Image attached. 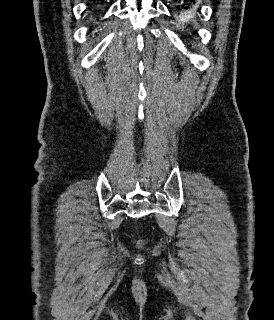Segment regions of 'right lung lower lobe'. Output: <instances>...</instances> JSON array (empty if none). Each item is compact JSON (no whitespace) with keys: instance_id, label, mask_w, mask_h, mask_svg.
I'll list each match as a JSON object with an SVG mask.
<instances>
[{"instance_id":"98d812e1","label":"right lung lower lobe","mask_w":274,"mask_h":320,"mask_svg":"<svg viewBox=\"0 0 274 320\" xmlns=\"http://www.w3.org/2000/svg\"><path fill=\"white\" fill-rule=\"evenodd\" d=\"M91 1H94V2H92L89 5L88 10L91 11V13L100 12L101 6L104 4L105 0H97V2H95L96 0H91Z\"/></svg>"}]
</instances>
